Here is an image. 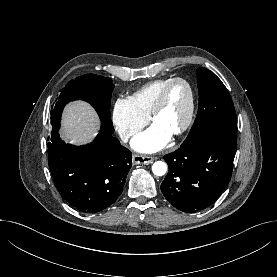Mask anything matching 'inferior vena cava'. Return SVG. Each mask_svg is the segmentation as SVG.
Wrapping results in <instances>:
<instances>
[{
    "label": "inferior vena cava",
    "mask_w": 277,
    "mask_h": 277,
    "mask_svg": "<svg viewBox=\"0 0 277 277\" xmlns=\"http://www.w3.org/2000/svg\"><path fill=\"white\" fill-rule=\"evenodd\" d=\"M130 136H131V133L127 130L121 132V134H120V137L124 142H126L129 139Z\"/></svg>",
    "instance_id": "602c4592"
}]
</instances>
